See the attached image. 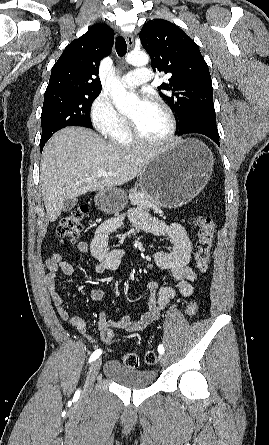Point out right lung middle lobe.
Segmentation results:
<instances>
[{"mask_svg":"<svg viewBox=\"0 0 269 445\" xmlns=\"http://www.w3.org/2000/svg\"><path fill=\"white\" fill-rule=\"evenodd\" d=\"M100 92H52L44 95L41 114V150L49 138L66 126L92 128L89 110Z\"/></svg>","mask_w":269,"mask_h":445,"instance_id":"obj_1","label":"right lung middle lobe"}]
</instances>
